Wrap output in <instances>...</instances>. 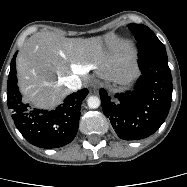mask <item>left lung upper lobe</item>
Listing matches in <instances>:
<instances>
[{"instance_id": "obj_1", "label": "left lung upper lobe", "mask_w": 187, "mask_h": 187, "mask_svg": "<svg viewBox=\"0 0 187 187\" xmlns=\"http://www.w3.org/2000/svg\"><path fill=\"white\" fill-rule=\"evenodd\" d=\"M129 29L138 41L139 51L142 53L167 57L165 46L151 29L145 25L129 24Z\"/></svg>"}]
</instances>
